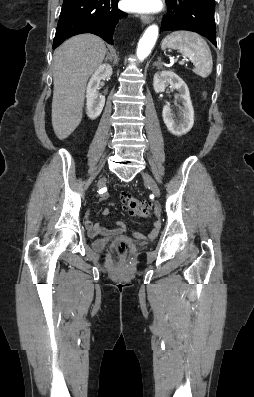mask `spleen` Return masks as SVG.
I'll return each instance as SVG.
<instances>
[{
	"label": "spleen",
	"instance_id": "spleen-1",
	"mask_svg": "<svg viewBox=\"0 0 254 397\" xmlns=\"http://www.w3.org/2000/svg\"><path fill=\"white\" fill-rule=\"evenodd\" d=\"M162 49H177L195 65V73L203 78L212 72L213 62L207 42L197 33L174 31L167 35L161 45Z\"/></svg>",
	"mask_w": 254,
	"mask_h": 397
}]
</instances>
